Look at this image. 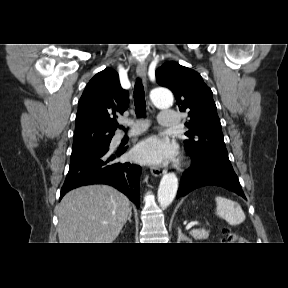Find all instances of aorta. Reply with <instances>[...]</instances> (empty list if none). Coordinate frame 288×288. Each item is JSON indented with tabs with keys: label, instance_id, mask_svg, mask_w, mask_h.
<instances>
[{
	"label": "aorta",
	"instance_id": "aorta-1",
	"mask_svg": "<svg viewBox=\"0 0 288 288\" xmlns=\"http://www.w3.org/2000/svg\"><path fill=\"white\" fill-rule=\"evenodd\" d=\"M152 102L159 108H168L173 104V95L168 90L154 89L150 94ZM178 189V179L174 173L163 175L158 188V202L162 208L168 207Z\"/></svg>",
	"mask_w": 288,
	"mask_h": 288
}]
</instances>
